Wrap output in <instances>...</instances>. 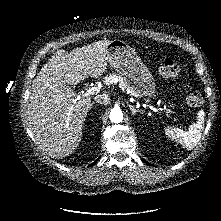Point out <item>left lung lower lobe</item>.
Instances as JSON below:
<instances>
[{"label":"left lung lower lobe","instance_id":"1","mask_svg":"<svg viewBox=\"0 0 221 221\" xmlns=\"http://www.w3.org/2000/svg\"><path fill=\"white\" fill-rule=\"evenodd\" d=\"M142 161L145 162V163H148V162H146L144 159H142ZM148 164H149V163H148Z\"/></svg>","mask_w":221,"mask_h":221}]
</instances>
